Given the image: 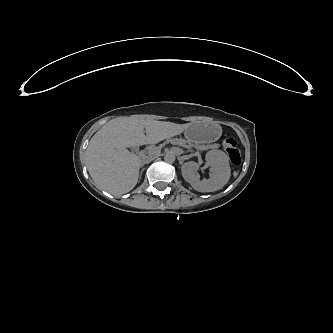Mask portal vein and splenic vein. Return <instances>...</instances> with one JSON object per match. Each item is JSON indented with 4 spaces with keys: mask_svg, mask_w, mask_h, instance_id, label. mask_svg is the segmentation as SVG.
Segmentation results:
<instances>
[{
    "mask_svg": "<svg viewBox=\"0 0 333 333\" xmlns=\"http://www.w3.org/2000/svg\"><path fill=\"white\" fill-rule=\"evenodd\" d=\"M149 153L152 154V153H154V151L153 150H149Z\"/></svg>",
    "mask_w": 333,
    "mask_h": 333,
    "instance_id": "18ae733b",
    "label": "portal vein and splenic vein"
}]
</instances>
